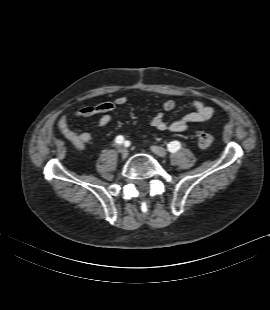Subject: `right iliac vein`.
Masks as SVG:
<instances>
[{
    "mask_svg": "<svg viewBox=\"0 0 270 310\" xmlns=\"http://www.w3.org/2000/svg\"><path fill=\"white\" fill-rule=\"evenodd\" d=\"M120 153H121L122 158L124 159L128 156V150L126 148L120 149Z\"/></svg>",
    "mask_w": 270,
    "mask_h": 310,
    "instance_id": "obj_1",
    "label": "right iliac vein"
}]
</instances>
